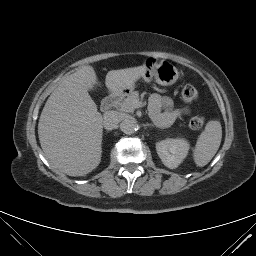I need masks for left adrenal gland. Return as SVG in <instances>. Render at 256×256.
Returning <instances> with one entry per match:
<instances>
[{
    "label": "left adrenal gland",
    "instance_id": "obj_1",
    "mask_svg": "<svg viewBox=\"0 0 256 256\" xmlns=\"http://www.w3.org/2000/svg\"><path fill=\"white\" fill-rule=\"evenodd\" d=\"M150 125H152V124H145L144 126H150Z\"/></svg>",
    "mask_w": 256,
    "mask_h": 256
}]
</instances>
